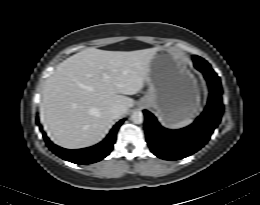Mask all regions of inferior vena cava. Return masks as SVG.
Returning <instances> with one entry per match:
<instances>
[{
  "mask_svg": "<svg viewBox=\"0 0 260 205\" xmlns=\"http://www.w3.org/2000/svg\"><path fill=\"white\" fill-rule=\"evenodd\" d=\"M125 113V107L122 105H115L110 109V114L113 118H119Z\"/></svg>",
  "mask_w": 260,
  "mask_h": 205,
  "instance_id": "602c4592",
  "label": "inferior vena cava"
}]
</instances>
